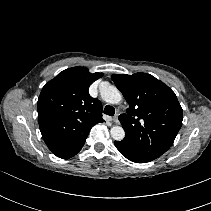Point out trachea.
Segmentation results:
<instances>
[{
  "mask_svg": "<svg viewBox=\"0 0 211 211\" xmlns=\"http://www.w3.org/2000/svg\"><path fill=\"white\" fill-rule=\"evenodd\" d=\"M104 114L106 115H109V116H113L115 114V109L114 107L110 106V105H107L105 108H104Z\"/></svg>",
  "mask_w": 211,
  "mask_h": 211,
  "instance_id": "3493384b",
  "label": "trachea"
}]
</instances>
